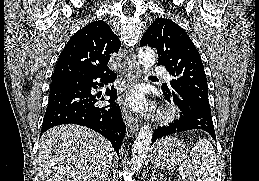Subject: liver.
I'll list each match as a JSON object with an SVG mask.
<instances>
[{"mask_svg":"<svg viewBox=\"0 0 259 181\" xmlns=\"http://www.w3.org/2000/svg\"><path fill=\"white\" fill-rule=\"evenodd\" d=\"M113 156L110 142L79 125H60L47 130L39 142L41 181H102Z\"/></svg>","mask_w":259,"mask_h":181,"instance_id":"obj_1","label":"liver"}]
</instances>
